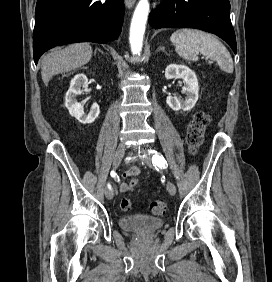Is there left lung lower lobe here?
<instances>
[{"label": "left lung lower lobe", "instance_id": "0a47b994", "mask_svg": "<svg viewBox=\"0 0 272 282\" xmlns=\"http://www.w3.org/2000/svg\"><path fill=\"white\" fill-rule=\"evenodd\" d=\"M228 0H163L150 13L153 28H197L216 34L236 53Z\"/></svg>", "mask_w": 272, "mask_h": 282}]
</instances>
